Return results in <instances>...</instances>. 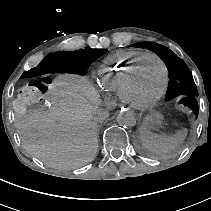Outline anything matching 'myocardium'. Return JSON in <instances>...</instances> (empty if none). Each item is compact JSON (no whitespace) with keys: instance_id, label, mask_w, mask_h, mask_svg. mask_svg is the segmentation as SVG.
I'll list each match as a JSON object with an SVG mask.
<instances>
[{"instance_id":"1","label":"myocardium","mask_w":211,"mask_h":211,"mask_svg":"<svg viewBox=\"0 0 211 211\" xmlns=\"http://www.w3.org/2000/svg\"><path fill=\"white\" fill-rule=\"evenodd\" d=\"M147 59H153L159 63L163 73V83L159 93L155 97L147 101H139L133 96V80L138 68ZM167 77L168 71L162 59L154 54H147L140 59L138 64L134 68H132L130 73L128 74L124 83L121 100L134 110L149 111L153 107H155L163 97L166 88Z\"/></svg>"}]
</instances>
